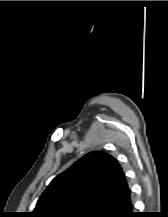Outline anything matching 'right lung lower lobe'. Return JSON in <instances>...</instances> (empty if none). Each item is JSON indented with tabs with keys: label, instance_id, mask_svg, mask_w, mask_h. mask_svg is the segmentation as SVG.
Here are the masks:
<instances>
[{
	"label": "right lung lower lobe",
	"instance_id": "right-lung-lower-lobe-1",
	"mask_svg": "<svg viewBox=\"0 0 168 217\" xmlns=\"http://www.w3.org/2000/svg\"><path fill=\"white\" fill-rule=\"evenodd\" d=\"M103 217H139V215L133 212V205L130 199Z\"/></svg>",
	"mask_w": 168,
	"mask_h": 217
}]
</instances>
